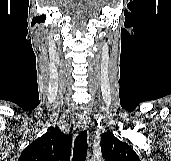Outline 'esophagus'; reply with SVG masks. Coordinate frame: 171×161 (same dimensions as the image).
<instances>
[{
    "instance_id": "obj_1",
    "label": "esophagus",
    "mask_w": 171,
    "mask_h": 161,
    "mask_svg": "<svg viewBox=\"0 0 171 161\" xmlns=\"http://www.w3.org/2000/svg\"><path fill=\"white\" fill-rule=\"evenodd\" d=\"M90 122V118L87 114L81 113L78 116V127L83 130L85 129Z\"/></svg>"
}]
</instances>
